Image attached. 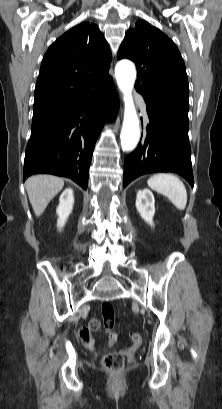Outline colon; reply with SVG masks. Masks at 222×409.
Wrapping results in <instances>:
<instances>
[{
    "label": "colon",
    "mask_w": 222,
    "mask_h": 409,
    "mask_svg": "<svg viewBox=\"0 0 222 409\" xmlns=\"http://www.w3.org/2000/svg\"><path fill=\"white\" fill-rule=\"evenodd\" d=\"M101 314L104 320L106 329L111 330L114 327V308L112 304L105 302L101 306ZM79 335L83 341L89 339L87 328H82ZM131 340L134 343H140L142 337L139 333H132ZM102 364L104 368L111 372H120L125 366V358L120 353H109L102 357Z\"/></svg>",
    "instance_id": "colon-1"
}]
</instances>
